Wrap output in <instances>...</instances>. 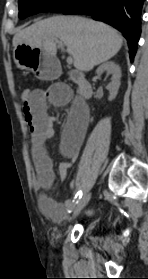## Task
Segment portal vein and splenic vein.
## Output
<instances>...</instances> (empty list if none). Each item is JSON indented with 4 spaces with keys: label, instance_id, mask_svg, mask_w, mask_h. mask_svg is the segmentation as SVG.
I'll list each match as a JSON object with an SVG mask.
<instances>
[{
    "label": "portal vein and splenic vein",
    "instance_id": "1",
    "mask_svg": "<svg viewBox=\"0 0 148 279\" xmlns=\"http://www.w3.org/2000/svg\"><path fill=\"white\" fill-rule=\"evenodd\" d=\"M56 43L58 44V46H59L62 50H64V46H63V43H62L61 41L56 40ZM67 63H68V64H72V63H73L72 57L69 56V57L67 58Z\"/></svg>",
    "mask_w": 148,
    "mask_h": 279
}]
</instances>
